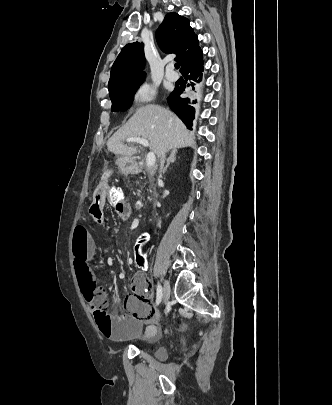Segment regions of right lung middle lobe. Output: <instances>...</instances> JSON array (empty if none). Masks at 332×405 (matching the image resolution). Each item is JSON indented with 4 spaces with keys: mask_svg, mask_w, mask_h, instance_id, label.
<instances>
[{
    "mask_svg": "<svg viewBox=\"0 0 332 405\" xmlns=\"http://www.w3.org/2000/svg\"><path fill=\"white\" fill-rule=\"evenodd\" d=\"M143 79L128 80L109 90L112 111H125L132 105L133 95Z\"/></svg>",
    "mask_w": 332,
    "mask_h": 405,
    "instance_id": "dd1d6c3e",
    "label": "right lung middle lobe"
}]
</instances>
